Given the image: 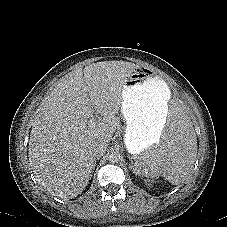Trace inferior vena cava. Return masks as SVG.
I'll list each match as a JSON object with an SVG mask.
<instances>
[{"label":"inferior vena cava","mask_w":227,"mask_h":227,"mask_svg":"<svg viewBox=\"0 0 227 227\" xmlns=\"http://www.w3.org/2000/svg\"><path fill=\"white\" fill-rule=\"evenodd\" d=\"M107 149V144L105 142L96 143L92 148V154L94 158H99L104 155Z\"/></svg>","instance_id":"inferior-vena-cava-1"}]
</instances>
